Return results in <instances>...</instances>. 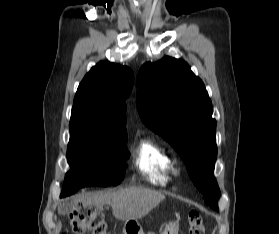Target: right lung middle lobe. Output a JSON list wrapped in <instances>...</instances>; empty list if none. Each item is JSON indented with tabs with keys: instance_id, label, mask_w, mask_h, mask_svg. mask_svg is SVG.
<instances>
[{
	"instance_id": "dd1d6c3e",
	"label": "right lung middle lobe",
	"mask_w": 279,
	"mask_h": 234,
	"mask_svg": "<svg viewBox=\"0 0 279 234\" xmlns=\"http://www.w3.org/2000/svg\"><path fill=\"white\" fill-rule=\"evenodd\" d=\"M67 160L71 167L65 176L60 197L81 187L118 185L125 173L127 136L101 137L83 123L70 122Z\"/></svg>"
}]
</instances>
